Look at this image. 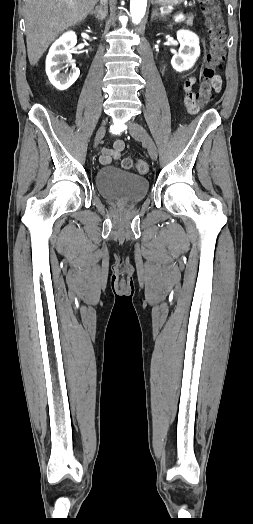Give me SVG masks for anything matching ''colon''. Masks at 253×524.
<instances>
[{
	"instance_id": "colon-1",
	"label": "colon",
	"mask_w": 253,
	"mask_h": 524,
	"mask_svg": "<svg viewBox=\"0 0 253 524\" xmlns=\"http://www.w3.org/2000/svg\"><path fill=\"white\" fill-rule=\"evenodd\" d=\"M200 7L206 17V26L209 35V51L206 64L203 69V82L197 91L198 103L208 102L213 95L212 80L221 66L225 57V28L217 10V0H198ZM189 111V110H187ZM122 166L126 169L132 166L130 159H124ZM138 173L144 174L148 171V164L143 160L135 163Z\"/></svg>"
}]
</instances>
